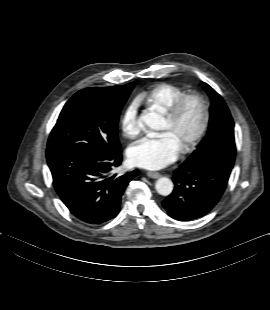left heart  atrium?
Masks as SVG:
<instances>
[{
  "label": "left heart atrium",
  "instance_id": "1",
  "mask_svg": "<svg viewBox=\"0 0 270 310\" xmlns=\"http://www.w3.org/2000/svg\"><path fill=\"white\" fill-rule=\"evenodd\" d=\"M181 146L169 133L148 136L133 144L128 151L129 162L137 167L157 170L174 162Z\"/></svg>",
  "mask_w": 270,
  "mask_h": 310
}]
</instances>
